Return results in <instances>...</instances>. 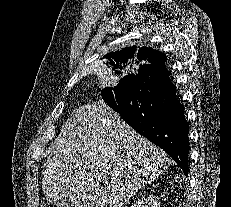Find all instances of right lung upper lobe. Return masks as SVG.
<instances>
[{
    "mask_svg": "<svg viewBox=\"0 0 231 207\" xmlns=\"http://www.w3.org/2000/svg\"><path fill=\"white\" fill-rule=\"evenodd\" d=\"M105 58H107L108 64H110L113 70H115V74H121L120 70H125L129 68V66L131 67L133 63H143L140 67L158 65L161 68L166 69L164 61L167 59L166 56L159 51L146 47L136 50L135 46L122 49L121 51L118 50L116 52L108 53L105 55Z\"/></svg>",
    "mask_w": 231,
    "mask_h": 207,
    "instance_id": "1",
    "label": "right lung upper lobe"
}]
</instances>
